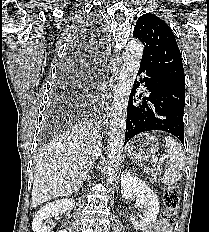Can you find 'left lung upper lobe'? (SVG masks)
<instances>
[{
	"instance_id": "obj_1",
	"label": "left lung upper lobe",
	"mask_w": 209,
	"mask_h": 232,
	"mask_svg": "<svg viewBox=\"0 0 209 232\" xmlns=\"http://www.w3.org/2000/svg\"><path fill=\"white\" fill-rule=\"evenodd\" d=\"M133 37L144 45L142 63L160 76L185 84L181 53L170 27L153 14H144L137 20Z\"/></svg>"
}]
</instances>
